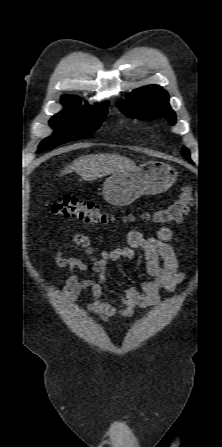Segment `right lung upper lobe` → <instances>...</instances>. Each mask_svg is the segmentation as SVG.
Here are the masks:
<instances>
[{"instance_id":"obj_1","label":"right lung upper lobe","mask_w":222,"mask_h":447,"mask_svg":"<svg viewBox=\"0 0 222 447\" xmlns=\"http://www.w3.org/2000/svg\"><path fill=\"white\" fill-rule=\"evenodd\" d=\"M64 97H72V98H76L77 99V97L69 96V95H65Z\"/></svg>"}]
</instances>
